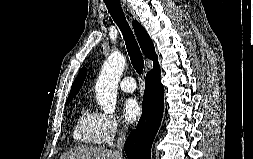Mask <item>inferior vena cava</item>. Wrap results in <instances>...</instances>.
<instances>
[{"instance_id":"inferior-vena-cava-1","label":"inferior vena cava","mask_w":253,"mask_h":159,"mask_svg":"<svg viewBox=\"0 0 253 159\" xmlns=\"http://www.w3.org/2000/svg\"><path fill=\"white\" fill-rule=\"evenodd\" d=\"M126 140L125 131L121 129L118 133L117 142H116V153L122 155V150Z\"/></svg>"}]
</instances>
